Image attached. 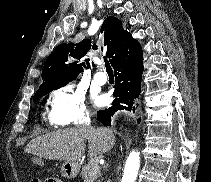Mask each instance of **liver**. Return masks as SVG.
I'll list each match as a JSON object with an SVG mask.
<instances>
[{"label":"liver","instance_id":"liver-1","mask_svg":"<svg viewBox=\"0 0 211 182\" xmlns=\"http://www.w3.org/2000/svg\"><path fill=\"white\" fill-rule=\"evenodd\" d=\"M86 141L88 155L94 157L110 151L115 144V136L107 128L63 129L32 139L25 152L49 160L78 161L84 155Z\"/></svg>","mask_w":211,"mask_h":182}]
</instances>
